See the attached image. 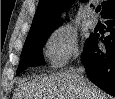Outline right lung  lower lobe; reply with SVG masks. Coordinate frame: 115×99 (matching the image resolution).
Listing matches in <instances>:
<instances>
[{"label": "right lung lower lobe", "instance_id": "right-lung-lower-lobe-1", "mask_svg": "<svg viewBox=\"0 0 115 99\" xmlns=\"http://www.w3.org/2000/svg\"><path fill=\"white\" fill-rule=\"evenodd\" d=\"M102 18L106 19V32L110 34L104 39L97 34H92L85 44L81 61L88 78L99 88L115 97V10ZM99 41L105 44V49L98 48Z\"/></svg>", "mask_w": 115, "mask_h": 99}]
</instances>
